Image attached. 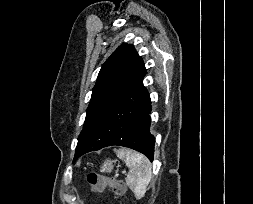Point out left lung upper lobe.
Segmentation results:
<instances>
[{"label":"left lung upper lobe","mask_w":253,"mask_h":204,"mask_svg":"<svg viewBox=\"0 0 253 204\" xmlns=\"http://www.w3.org/2000/svg\"><path fill=\"white\" fill-rule=\"evenodd\" d=\"M145 75L144 62L133 45L123 43L112 53L101 67L93 88L84 127L78 137L76 152L83 144V135L87 127L128 97L141 85Z\"/></svg>","instance_id":"1"}]
</instances>
